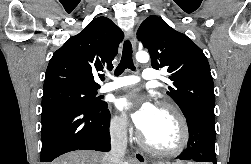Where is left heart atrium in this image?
Here are the masks:
<instances>
[{
    "mask_svg": "<svg viewBox=\"0 0 251 164\" xmlns=\"http://www.w3.org/2000/svg\"><path fill=\"white\" fill-rule=\"evenodd\" d=\"M116 107L132 120L142 134H146L151 128L158 112V108L150 100L143 98L136 91L119 97Z\"/></svg>",
    "mask_w": 251,
    "mask_h": 164,
    "instance_id": "39dd6f15",
    "label": "left heart atrium"
}]
</instances>
